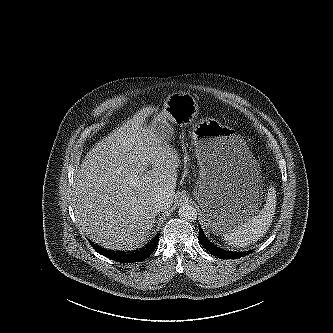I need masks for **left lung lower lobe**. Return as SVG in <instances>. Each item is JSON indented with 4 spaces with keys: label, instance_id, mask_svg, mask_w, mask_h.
I'll use <instances>...</instances> for the list:
<instances>
[{
    "label": "left lung lower lobe",
    "instance_id": "obj_1",
    "mask_svg": "<svg viewBox=\"0 0 333 333\" xmlns=\"http://www.w3.org/2000/svg\"><path fill=\"white\" fill-rule=\"evenodd\" d=\"M199 241L206 250H208L210 253H212L213 255H215L219 258L237 259V258L244 257V256L250 254V251L249 252H236V251H229V250L220 248L219 246L212 243L205 236V234L203 233V229L201 228L200 225H199Z\"/></svg>",
    "mask_w": 333,
    "mask_h": 333
}]
</instances>
